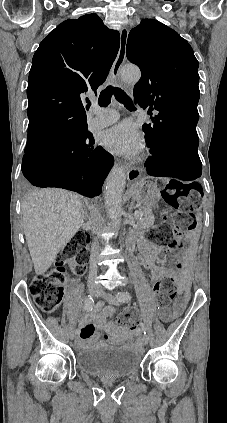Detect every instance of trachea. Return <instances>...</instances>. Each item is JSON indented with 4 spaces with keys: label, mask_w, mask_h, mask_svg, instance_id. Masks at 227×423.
Segmentation results:
<instances>
[{
    "label": "trachea",
    "mask_w": 227,
    "mask_h": 423,
    "mask_svg": "<svg viewBox=\"0 0 227 423\" xmlns=\"http://www.w3.org/2000/svg\"><path fill=\"white\" fill-rule=\"evenodd\" d=\"M113 95L115 96L116 100L119 103H122L128 110H136L131 98L128 97L127 93H125L124 90H122L121 88L112 87V85H109L100 93V96L98 98V104L100 105V107H108V105L111 103V97Z\"/></svg>",
    "instance_id": "obj_1"
}]
</instances>
